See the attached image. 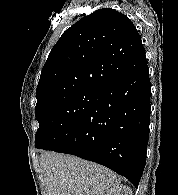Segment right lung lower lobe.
<instances>
[{
    "label": "right lung lower lobe",
    "instance_id": "98d812e1",
    "mask_svg": "<svg viewBox=\"0 0 178 195\" xmlns=\"http://www.w3.org/2000/svg\"><path fill=\"white\" fill-rule=\"evenodd\" d=\"M150 93L147 65L107 84L53 151L104 165L137 188L146 164Z\"/></svg>",
    "mask_w": 178,
    "mask_h": 195
}]
</instances>
